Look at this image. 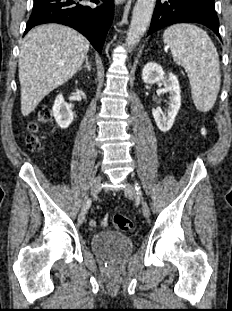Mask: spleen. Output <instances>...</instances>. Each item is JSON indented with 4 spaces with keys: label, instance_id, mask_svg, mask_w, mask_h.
Instances as JSON below:
<instances>
[{
    "label": "spleen",
    "instance_id": "spleen-1",
    "mask_svg": "<svg viewBox=\"0 0 232 311\" xmlns=\"http://www.w3.org/2000/svg\"><path fill=\"white\" fill-rule=\"evenodd\" d=\"M164 43L173 60L185 68L196 108L208 112L220 89V63L217 50L207 33L192 24H175L167 28Z\"/></svg>",
    "mask_w": 232,
    "mask_h": 311
}]
</instances>
